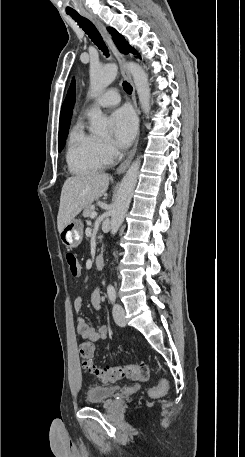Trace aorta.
Masks as SVG:
<instances>
[{
	"instance_id": "1",
	"label": "aorta",
	"mask_w": 245,
	"mask_h": 457,
	"mask_svg": "<svg viewBox=\"0 0 245 457\" xmlns=\"http://www.w3.org/2000/svg\"><path fill=\"white\" fill-rule=\"evenodd\" d=\"M127 68L133 77L141 107L144 113L148 115L151 109L148 76L144 69L136 63H128ZM117 73L118 67L116 64H108L103 67H92L90 69L91 96L97 97L114 81ZM88 115L91 131L93 133L102 135L107 132L110 121L102 114V111L99 108H93ZM139 168L140 158L138 157L131 164L121 181L111 216L110 224L112 235L117 233L124 221L137 183Z\"/></svg>"
}]
</instances>
